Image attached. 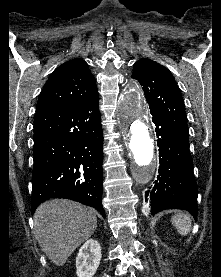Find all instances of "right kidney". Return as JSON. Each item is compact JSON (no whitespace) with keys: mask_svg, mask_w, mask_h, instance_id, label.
<instances>
[{"mask_svg":"<svg viewBox=\"0 0 221 277\" xmlns=\"http://www.w3.org/2000/svg\"><path fill=\"white\" fill-rule=\"evenodd\" d=\"M101 246L93 239L86 241L76 257V273L78 277H93L101 260Z\"/></svg>","mask_w":221,"mask_h":277,"instance_id":"obj_1","label":"right kidney"}]
</instances>
